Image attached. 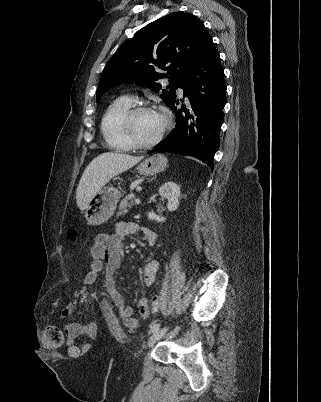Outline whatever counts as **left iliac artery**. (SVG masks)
Instances as JSON below:
<instances>
[{"mask_svg":"<svg viewBox=\"0 0 321 402\" xmlns=\"http://www.w3.org/2000/svg\"><path fill=\"white\" fill-rule=\"evenodd\" d=\"M160 328V324L156 323L151 327L152 332L158 330Z\"/></svg>","mask_w":321,"mask_h":402,"instance_id":"obj_1","label":"left iliac artery"}]
</instances>
